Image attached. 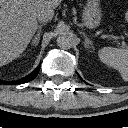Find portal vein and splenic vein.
<instances>
[{
	"instance_id": "18ae733b",
	"label": "portal vein and splenic vein",
	"mask_w": 128,
	"mask_h": 128,
	"mask_svg": "<svg viewBox=\"0 0 128 128\" xmlns=\"http://www.w3.org/2000/svg\"><path fill=\"white\" fill-rule=\"evenodd\" d=\"M125 46H126L125 42H124V41H122V47H125Z\"/></svg>"
}]
</instances>
